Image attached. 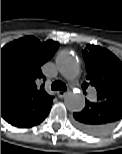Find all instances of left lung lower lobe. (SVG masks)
Returning a JSON list of instances; mask_svg holds the SVG:
<instances>
[{
	"label": "left lung lower lobe",
	"instance_id": "obj_1",
	"mask_svg": "<svg viewBox=\"0 0 122 154\" xmlns=\"http://www.w3.org/2000/svg\"><path fill=\"white\" fill-rule=\"evenodd\" d=\"M74 125L90 135L101 134L122 118V101L90 102L81 112L73 114Z\"/></svg>",
	"mask_w": 122,
	"mask_h": 154
}]
</instances>
